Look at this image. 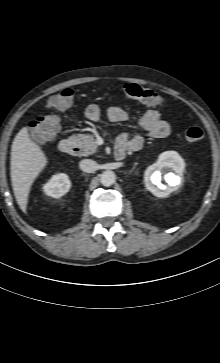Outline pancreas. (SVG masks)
<instances>
[{"mask_svg":"<svg viewBox=\"0 0 220 363\" xmlns=\"http://www.w3.org/2000/svg\"><path fill=\"white\" fill-rule=\"evenodd\" d=\"M84 156L92 155L98 151L94 136L90 134H78L75 136Z\"/></svg>","mask_w":220,"mask_h":363,"instance_id":"pancreas-1","label":"pancreas"}]
</instances>
